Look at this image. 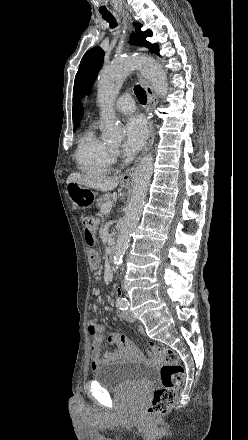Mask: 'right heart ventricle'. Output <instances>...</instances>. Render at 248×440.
<instances>
[{
  "label": "right heart ventricle",
  "mask_w": 248,
  "mask_h": 440,
  "mask_svg": "<svg viewBox=\"0 0 248 440\" xmlns=\"http://www.w3.org/2000/svg\"><path fill=\"white\" fill-rule=\"evenodd\" d=\"M77 167L89 175H105L111 171V149L96 135L93 127L80 137L75 152Z\"/></svg>",
  "instance_id": "right-heart-ventricle-1"
}]
</instances>
